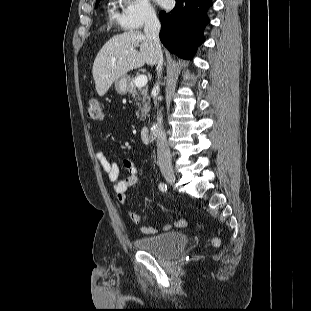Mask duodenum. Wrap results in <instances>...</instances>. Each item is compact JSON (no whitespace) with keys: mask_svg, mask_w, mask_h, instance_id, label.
I'll use <instances>...</instances> for the list:
<instances>
[{"mask_svg":"<svg viewBox=\"0 0 311 311\" xmlns=\"http://www.w3.org/2000/svg\"><path fill=\"white\" fill-rule=\"evenodd\" d=\"M149 135H150V128L148 126L141 127L140 136H141V140L144 143H148L150 141Z\"/></svg>","mask_w":311,"mask_h":311,"instance_id":"obj_1","label":"duodenum"}]
</instances>
